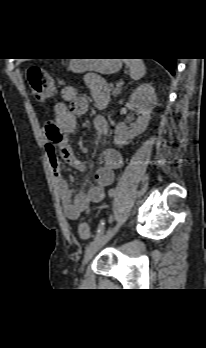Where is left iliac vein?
<instances>
[{
	"label": "left iliac vein",
	"instance_id": "left-iliac-vein-1",
	"mask_svg": "<svg viewBox=\"0 0 206 348\" xmlns=\"http://www.w3.org/2000/svg\"><path fill=\"white\" fill-rule=\"evenodd\" d=\"M119 225H116L106 234L102 235L99 239L91 242L85 251L84 259L82 261V267L88 263V261L95 255V253L118 231Z\"/></svg>",
	"mask_w": 206,
	"mask_h": 348
}]
</instances>
